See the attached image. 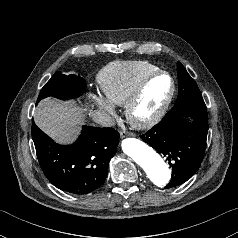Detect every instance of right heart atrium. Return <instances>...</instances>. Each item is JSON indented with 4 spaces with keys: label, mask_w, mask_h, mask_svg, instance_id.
Here are the masks:
<instances>
[{
    "label": "right heart atrium",
    "mask_w": 238,
    "mask_h": 238,
    "mask_svg": "<svg viewBox=\"0 0 238 238\" xmlns=\"http://www.w3.org/2000/svg\"><path fill=\"white\" fill-rule=\"evenodd\" d=\"M90 100L94 107H96L103 115L106 124H109L116 117V108L106 97L91 93Z\"/></svg>",
    "instance_id": "obj_1"
}]
</instances>
